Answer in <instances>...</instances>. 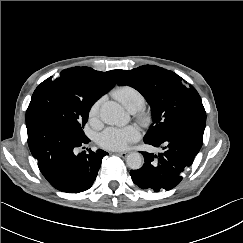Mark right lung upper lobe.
<instances>
[{
  "instance_id": "cb5924a9",
  "label": "right lung upper lobe",
  "mask_w": 243,
  "mask_h": 243,
  "mask_svg": "<svg viewBox=\"0 0 243 243\" xmlns=\"http://www.w3.org/2000/svg\"><path fill=\"white\" fill-rule=\"evenodd\" d=\"M121 73L122 70L101 72L90 67H72L61 71L59 79L75 96L94 103L116 84Z\"/></svg>"
}]
</instances>
